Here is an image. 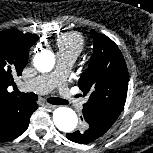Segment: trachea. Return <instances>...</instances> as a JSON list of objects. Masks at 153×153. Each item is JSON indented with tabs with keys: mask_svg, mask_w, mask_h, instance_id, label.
<instances>
[{
	"mask_svg": "<svg viewBox=\"0 0 153 153\" xmlns=\"http://www.w3.org/2000/svg\"><path fill=\"white\" fill-rule=\"evenodd\" d=\"M15 94L17 96L21 97L22 99L27 100V101H37L38 100V96L32 92L31 93H23V92H20L19 90H16ZM47 101L53 105L68 104V102L66 100L61 99V98H57V97H50L47 99Z\"/></svg>",
	"mask_w": 153,
	"mask_h": 153,
	"instance_id": "trachea-1",
	"label": "trachea"
}]
</instances>
